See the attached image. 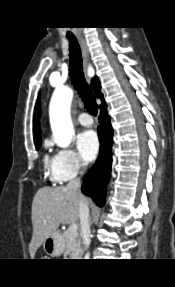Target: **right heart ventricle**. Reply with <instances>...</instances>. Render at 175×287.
Listing matches in <instances>:
<instances>
[{
    "label": "right heart ventricle",
    "mask_w": 175,
    "mask_h": 287,
    "mask_svg": "<svg viewBox=\"0 0 175 287\" xmlns=\"http://www.w3.org/2000/svg\"><path fill=\"white\" fill-rule=\"evenodd\" d=\"M43 162L45 171L52 177L54 172V158H51L48 154H45Z\"/></svg>",
    "instance_id": "e07e8e85"
}]
</instances>
